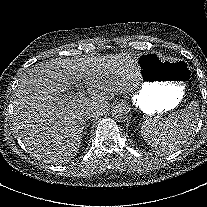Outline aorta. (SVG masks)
Here are the masks:
<instances>
[{
  "mask_svg": "<svg viewBox=\"0 0 207 207\" xmlns=\"http://www.w3.org/2000/svg\"><path fill=\"white\" fill-rule=\"evenodd\" d=\"M130 111L126 104H118L112 110L113 118L118 122H123L128 120Z\"/></svg>",
  "mask_w": 207,
  "mask_h": 207,
  "instance_id": "aorta-1",
  "label": "aorta"
}]
</instances>
